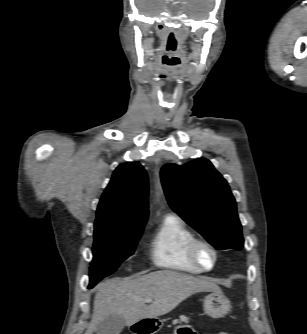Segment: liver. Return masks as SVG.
I'll return each mask as SVG.
<instances>
[{"instance_id":"6515ba94","label":"liver","mask_w":307,"mask_h":334,"mask_svg":"<svg viewBox=\"0 0 307 334\" xmlns=\"http://www.w3.org/2000/svg\"><path fill=\"white\" fill-rule=\"evenodd\" d=\"M203 291H221L205 279L176 271L151 272L134 279L113 278L98 285L91 322L85 334H93L105 317L120 315L127 326L144 318L154 319L177 307L190 295ZM152 298L150 305L145 300Z\"/></svg>"}]
</instances>
